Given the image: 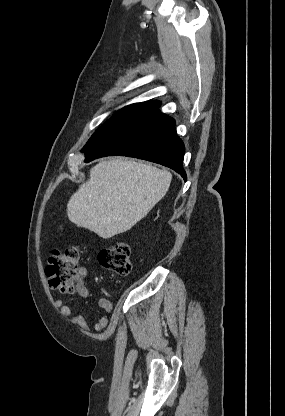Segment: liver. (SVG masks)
Listing matches in <instances>:
<instances>
[{
  "label": "liver",
  "mask_w": 285,
  "mask_h": 416,
  "mask_svg": "<svg viewBox=\"0 0 285 416\" xmlns=\"http://www.w3.org/2000/svg\"><path fill=\"white\" fill-rule=\"evenodd\" d=\"M172 176L134 160H106L90 170L67 204V216L78 228L113 238L133 228L162 200Z\"/></svg>",
  "instance_id": "obj_1"
}]
</instances>
